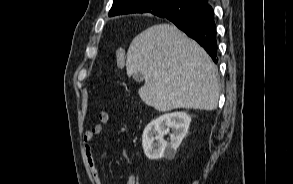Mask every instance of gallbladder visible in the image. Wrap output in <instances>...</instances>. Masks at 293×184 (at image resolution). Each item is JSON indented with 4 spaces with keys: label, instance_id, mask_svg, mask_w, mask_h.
<instances>
[{
    "label": "gallbladder",
    "instance_id": "1",
    "mask_svg": "<svg viewBox=\"0 0 293 184\" xmlns=\"http://www.w3.org/2000/svg\"><path fill=\"white\" fill-rule=\"evenodd\" d=\"M133 79H134L136 82H141V81L143 80V75H142L140 72L135 73V74L133 75Z\"/></svg>",
    "mask_w": 293,
    "mask_h": 184
}]
</instances>
